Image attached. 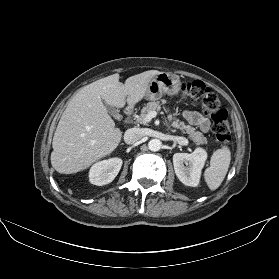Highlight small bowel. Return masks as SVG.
<instances>
[{
  "label": "small bowel",
  "instance_id": "obj_1",
  "mask_svg": "<svg viewBox=\"0 0 279 279\" xmlns=\"http://www.w3.org/2000/svg\"><path fill=\"white\" fill-rule=\"evenodd\" d=\"M183 116L189 123L199 127L202 132L209 131L210 121L207 118L203 117L200 113L196 111L185 110L183 112Z\"/></svg>",
  "mask_w": 279,
  "mask_h": 279
}]
</instances>
